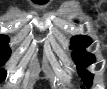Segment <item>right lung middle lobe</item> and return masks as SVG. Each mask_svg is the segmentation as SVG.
Instances as JSON below:
<instances>
[{
	"instance_id": "obj_1",
	"label": "right lung middle lobe",
	"mask_w": 107,
	"mask_h": 89,
	"mask_svg": "<svg viewBox=\"0 0 107 89\" xmlns=\"http://www.w3.org/2000/svg\"><path fill=\"white\" fill-rule=\"evenodd\" d=\"M9 38L7 36L1 35L0 36V64H4L8 58L10 57L11 51L7 46ZM6 77V72L2 69L0 70V80L3 81Z\"/></svg>"
}]
</instances>
